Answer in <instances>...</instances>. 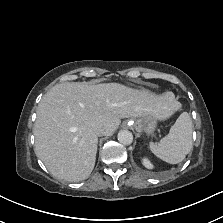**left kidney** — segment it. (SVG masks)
I'll return each mask as SVG.
<instances>
[{
	"label": "left kidney",
	"instance_id": "5707ae66",
	"mask_svg": "<svg viewBox=\"0 0 223 223\" xmlns=\"http://www.w3.org/2000/svg\"><path fill=\"white\" fill-rule=\"evenodd\" d=\"M142 163L148 169H152L153 168L152 163L147 158H143L142 159Z\"/></svg>",
	"mask_w": 223,
	"mask_h": 223
}]
</instances>
